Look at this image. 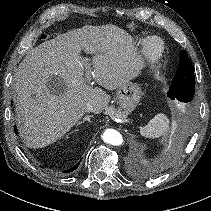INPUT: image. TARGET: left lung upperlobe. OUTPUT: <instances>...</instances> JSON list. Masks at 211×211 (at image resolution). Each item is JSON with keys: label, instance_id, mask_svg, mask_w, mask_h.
Here are the masks:
<instances>
[{"label": "left lung upper lobe", "instance_id": "1", "mask_svg": "<svg viewBox=\"0 0 211 211\" xmlns=\"http://www.w3.org/2000/svg\"><path fill=\"white\" fill-rule=\"evenodd\" d=\"M179 59V66L167 95L172 100H178L191 105L195 92L194 69L187 54L183 50Z\"/></svg>", "mask_w": 211, "mask_h": 211}]
</instances>
